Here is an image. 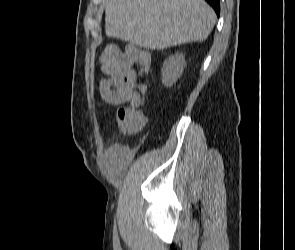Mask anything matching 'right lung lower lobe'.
Listing matches in <instances>:
<instances>
[{
  "instance_id": "obj_1",
  "label": "right lung lower lobe",
  "mask_w": 295,
  "mask_h": 250,
  "mask_svg": "<svg viewBox=\"0 0 295 250\" xmlns=\"http://www.w3.org/2000/svg\"><path fill=\"white\" fill-rule=\"evenodd\" d=\"M206 2H208L213 9L215 10L217 16L220 15V3L219 0H205Z\"/></svg>"
}]
</instances>
